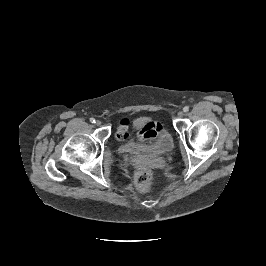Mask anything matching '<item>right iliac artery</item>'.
Returning <instances> with one entry per match:
<instances>
[{
  "label": "right iliac artery",
  "instance_id": "right-iliac-artery-1",
  "mask_svg": "<svg viewBox=\"0 0 266 266\" xmlns=\"http://www.w3.org/2000/svg\"><path fill=\"white\" fill-rule=\"evenodd\" d=\"M90 122L91 123H95V119L94 118H90Z\"/></svg>",
  "mask_w": 266,
  "mask_h": 266
}]
</instances>
